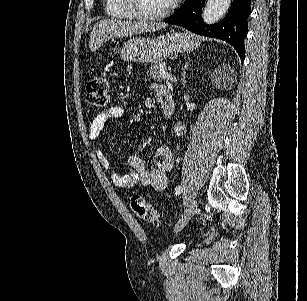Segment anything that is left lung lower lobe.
I'll list each match as a JSON object with an SVG mask.
<instances>
[{"instance_id": "0a47b994", "label": "left lung lower lobe", "mask_w": 307, "mask_h": 301, "mask_svg": "<svg viewBox=\"0 0 307 301\" xmlns=\"http://www.w3.org/2000/svg\"><path fill=\"white\" fill-rule=\"evenodd\" d=\"M206 0H185L184 4L164 22L182 26L196 34L219 38L231 44L241 61L245 56L244 38L248 32L247 19L251 0H233L225 18L214 25L206 24L201 16Z\"/></svg>"}]
</instances>
